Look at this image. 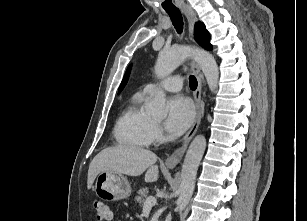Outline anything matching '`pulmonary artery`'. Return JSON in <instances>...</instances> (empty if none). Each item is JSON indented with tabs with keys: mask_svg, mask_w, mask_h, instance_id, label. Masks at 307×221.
<instances>
[{
	"mask_svg": "<svg viewBox=\"0 0 307 221\" xmlns=\"http://www.w3.org/2000/svg\"><path fill=\"white\" fill-rule=\"evenodd\" d=\"M183 79L180 76H172L160 83H150L144 88V92L147 94H154L158 90H164L168 92H178L182 89Z\"/></svg>",
	"mask_w": 307,
	"mask_h": 221,
	"instance_id": "pulmonary-artery-1",
	"label": "pulmonary artery"
}]
</instances>
